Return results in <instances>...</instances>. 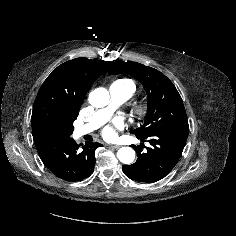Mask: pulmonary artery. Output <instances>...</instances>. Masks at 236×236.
<instances>
[{
	"instance_id": "1",
	"label": "pulmonary artery",
	"mask_w": 236,
	"mask_h": 236,
	"mask_svg": "<svg viewBox=\"0 0 236 236\" xmlns=\"http://www.w3.org/2000/svg\"><path fill=\"white\" fill-rule=\"evenodd\" d=\"M109 91L110 103L108 106L96 111L88 123L76 127L74 130L76 137L88 134L103 125L117 107L126 102L132 95L131 87L121 82H113L110 85Z\"/></svg>"
}]
</instances>
